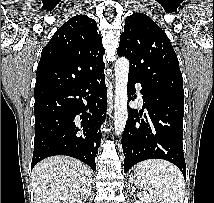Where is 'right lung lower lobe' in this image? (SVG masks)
<instances>
[{
	"label": "right lung lower lobe",
	"mask_w": 214,
	"mask_h": 203,
	"mask_svg": "<svg viewBox=\"0 0 214 203\" xmlns=\"http://www.w3.org/2000/svg\"><path fill=\"white\" fill-rule=\"evenodd\" d=\"M104 73L35 99V141L32 168L54 155L77 158L93 170L106 116ZM81 114V115H79Z\"/></svg>",
	"instance_id": "98d812e1"
}]
</instances>
